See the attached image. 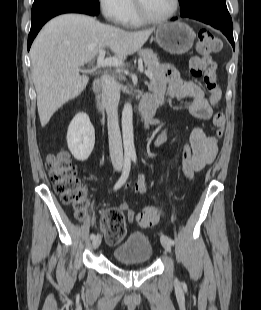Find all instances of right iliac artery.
I'll list each match as a JSON object with an SVG mask.
<instances>
[{
	"label": "right iliac artery",
	"instance_id": "1",
	"mask_svg": "<svg viewBox=\"0 0 261 310\" xmlns=\"http://www.w3.org/2000/svg\"><path fill=\"white\" fill-rule=\"evenodd\" d=\"M130 169H131V158L130 157H125L124 158V167H123V171L122 174L120 176V178L118 179V181L116 182V184L114 185V190L119 189L127 180L129 173H130ZM96 236L94 233H92L90 235L91 239H94Z\"/></svg>",
	"mask_w": 261,
	"mask_h": 310
}]
</instances>
